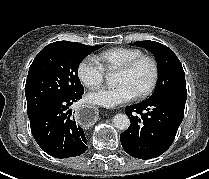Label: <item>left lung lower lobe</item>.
Returning <instances> with one entry per match:
<instances>
[{
    "label": "left lung lower lobe",
    "mask_w": 209,
    "mask_h": 179,
    "mask_svg": "<svg viewBox=\"0 0 209 179\" xmlns=\"http://www.w3.org/2000/svg\"><path fill=\"white\" fill-rule=\"evenodd\" d=\"M187 90L164 94L126 107L130 127L121 133L123 149L132 157L160 156L173 143L184 116Z\"/></svg>",
    "instance_id": "1"
}]
</instances>
